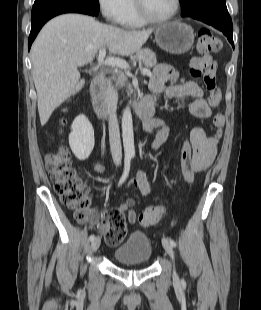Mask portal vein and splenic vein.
Here are the masks:
<instances>
[{
    "mask_svg": "<svg viewBox=\"0 0 261 310\" xmlns=\"http://www.w3.org/2000/svg\"><path fill=\"white\" fill-rule=\"evenodd\" d=\"M105 56H106L105 48L100 49L99 55H98V64L99 65L116 66V67H119L121 69H129V65L125 60L119 59V58H114V57H108L105 59ZM141 73L143 75H147V76L151 77V72L148 69H143L141 71Z\"/></svg>",
    "mask_w": 261,
    "mask_h": 310,
    "instance_id": "18ae733b",
    "label": "portal vein and splenic vein"
}]
</instances>
